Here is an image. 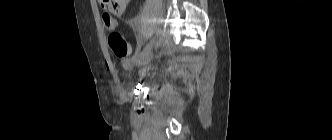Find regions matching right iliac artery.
Here are the masks:
<instances>
[{
  "label": "right iliac artery",
  "mask_w": 332,
  "mask_h": 140,
  "mask_svg": "<svg viewBox=\"0 0 332 140\" xmlns=\"http://www.w3.org/2000/svg\"><path fill=\"white\" fill-rule=\"evenodd\" d=\"M143 44V46H144V43H142ZM142 52L143 51H141V50H139L132 58H131V60L133 61V62H135V61H137V59L140 57V55L142 54Z\"/></svg>",
  "instance_id": "1"
}]
</instances>
